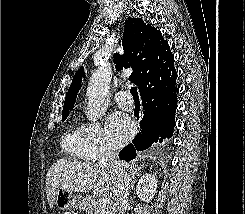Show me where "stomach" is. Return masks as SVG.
Returning <instances> with one entry per match:
<instances>
[{"label": "stomach", "instance_id": "obj_1", "mask_svg": "<svg viewBox=\"0 0 245 214\" xmlns=\"http://www.w3.org/2000/svg\"><path fill=\"white\" fill-rule=\"evenodd\" d=\"M55 205L58 209L62 210L70 208L85 210L89 207L90 200L80 194H74L73 191L59 188L55 199Z\"/></svg>", "mask_w": 245, "mask_h": 214}]
</instances>
